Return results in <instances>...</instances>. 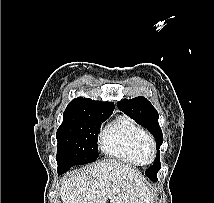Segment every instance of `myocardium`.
Listing matches in <instances>:
<instances>
[{
    "mask_svg": "<svg viewBox=\"0 0 214 203\" xmlns=\"http://www.w3.org/2000/svg\"><path fill=\"white\" fill-rule=\"evenodd\" d=\"M139 153L145 163L153 162L156 158V148L153 139L145 135L139 144Z\"/></svg>",
    "mask_w": 214,
    "mask_h": 203,
    "instance_id": "myocardium-1",
    "label": "myocardium"
}]
</instances>
